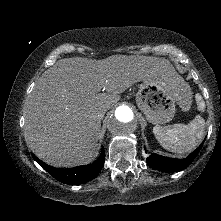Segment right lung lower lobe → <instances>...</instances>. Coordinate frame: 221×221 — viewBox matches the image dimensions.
<instances>
[{
  "mask_svg": "<svg viewBox=\"0 0 221 221\" xmlns=\"http://www.w3.org/2000/svg\"><path fill=\"white\" fill-rule=\"evenodd\" d=\"M32 157L40 164L42 168H44L58 181L65 184L76 185L88 182L94 179L99 174L104 165L105 152L104 148L102 147L101 154L94 163L86 166L74 167L71 169L55 168L45 164L44 162L39 160L34 154H32Z\"/></svg>",
  "mask_w": 221,
  "mask_h": 221,
  "instance_id": "98d812e1",
  "label": "right lung lower lobe"
}]
</instances>
